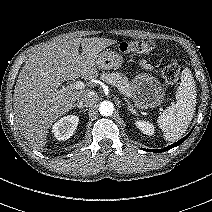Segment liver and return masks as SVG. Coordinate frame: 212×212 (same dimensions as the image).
Listing matches in <instances>:
<instances>
[{"label": "liver", "instance_id": "1", "mask_svg": "<svg viewBox=\"0 0 212 212\" xmlns=\"http://www.w3.org/2000/svg\"><path fill=\"white\" fill-rule=\"evenodd\" d=\"M114 43L112 39L98 37H61L28 56L13 96L16 124L27 141L40 147L46 144L52 123L74 106L81 93L90 91L88 87L93 86L92 80L98 76L99 53ZM81 76L89 80L86 88L62 89L65 81Z\"/></svg>", "mask_w": 212, "mask_h": 212}]
</instances>
